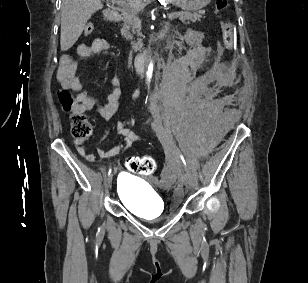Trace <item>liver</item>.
<instances>
[{"label": "liver", "instance_id": "obj_1", "mask_svg": "<svg viewBox=\"0 0 308 283\" xmlns=\"http://www.w3.org/2000/svg\"><path fill=\"white\" fill-rule=\"evenodd\" d=\"M134 4L136 9L144 8L150 0H125ZM101 0H62L61 37L62 51L70 49L82 34L87 21L98 10L102 9Z\"/></svg>", "mask_w": 308, "mask_h": 283}]
</instances>
